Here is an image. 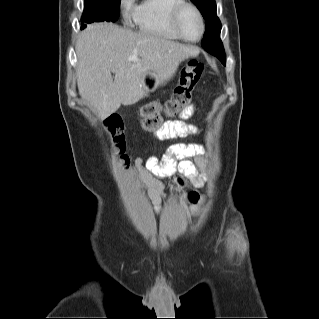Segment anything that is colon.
Segmentation results:
<instances>
[{"mask_svg":"<svg viewBox=\"0 0 319 319\" xmlns=\"http://www.w3.org/2000/svg\"><path fill=\"white\" fill-rule=\"evenodd\" d=\"M205 71V65L196 59L190 60L181 70L180 80L174 89L171 99L165 104H148L141 110L140 127L146 132H157L162 127L164 117H174L190 102L192 93ZM107 133L112 139V148L117 153L120 162L126 166L129 163L125 154V135L122 121L119 117L112 118L107 124ZM195 193L188 195L190 202H195Z\"/></svg>","mask_w":319,"mask_h":319,"instance_id":"obj_1","label":"colon"}]
</instances>
